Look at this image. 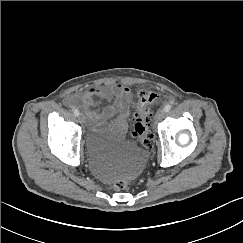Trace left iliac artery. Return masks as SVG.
<instances>
[{
  "label": "left iliac artery",
  "mask_w": 243,
  "mask_h": 243,
  "mask_svg": "<svg viewBox=\"0 0 243 243\" xmlns=\"http://www.w3.org/2000/svg\"><path fill=\"white\" fill-rule=\"evenodd\" d=\"M171 108H172V106H171L170 104H167V105H165V107H164V111H165V112H168V111L171 110Z\"/></svg>",
  "instance_id": "44dca946"
}]
</instances>
